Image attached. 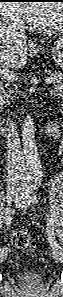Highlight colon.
Masks as SVG:
<instances>
[{"label": "colon", "instance_id": "5ec220e1", "mask_svg": "<svg viewBox=\"0 0 63 297\" xmlns=\"http://www.w3.org/2000/svg\"><path fill=\"white\" fill-rule=\"evenodd\" d=\"M12 243L17 248L33 252L36 249L33 238L24 231L15 232L12 236Z\"/></svg>", "mask_w": 63, "mask_h": 297}]
</instances>
